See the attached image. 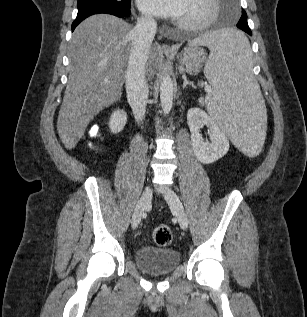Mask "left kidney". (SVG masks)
<instances>
[{
  "label": "left kidney",
  "instance_id": "1",
  "mask_svg": "<svg viewBox=\"0 0 307 317\" xmlns=\"http://www.w3.org/2000/svg\"><path fill=\"white\" fill-rule=\"evenodd\" d=\"M187 123L191 132V141L196 158L209 164L222 158L229 150V140L213 119L200 108H191L187 112ZM206 125L210 129V140L204 141L200 128Z\"/></svg>",
  "mask_w": 307,
  "mask_h": 317
}]
</instances>
